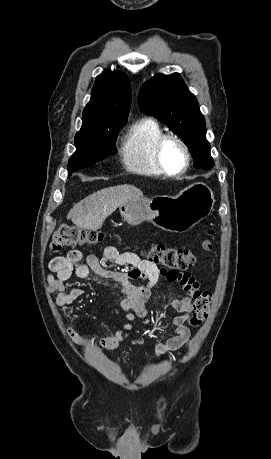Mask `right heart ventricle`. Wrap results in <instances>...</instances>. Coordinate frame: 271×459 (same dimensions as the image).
<instances>
[{
  "label": "right heart ventricle",
  "mask_w": 271,
  "mask_h": 459,
  "mask_svg": "<svg viewBox=\"0 0 271 459\" xmlns=\"http://www.w3.org/2000/svg\"><path fill=\"white\" fill-rule=\"evenodd\" d=\"M163 134L161 125L152 118H143L135 122L125 136L121 148V160L124 167L143 176L163 178L165 174L154 160V144Z\"/></svg>",
  "instance_id": "obj_1"
}]
</instances>
